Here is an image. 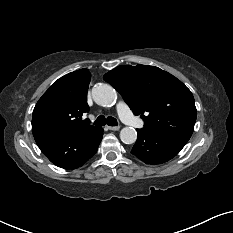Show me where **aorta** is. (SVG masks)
<instances>
[{"label":"aorta","mask_w":233,"mask_h":233,"mask_svg":"<svg viewBox=\"0 0 233 233\" xmlns=\"http://www.w3.org/2000/svg\"><path fill=\"white\" fill-rule=\"evenodd\" d=\"M92 95L96 103L103 107L112 105L117 98L115 89L106 84L94 87ZM120 139L125 144H133L137 139V132L133 127H125L120 131Z\"/></svg>","instance_id":"aorta-1"}]
</instances>
